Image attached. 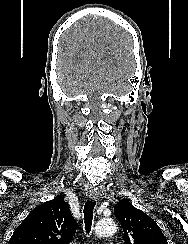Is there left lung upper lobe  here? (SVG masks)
<instances>
[{
	"instance_id": "1",
	"label": "left lung upper lobe",
	"mask_w": 188,
	"mask_h": 244,
	"mask_svg": "<svg viewBox=\"0 0 188 244\" xmlns=\"http://www.w3.org/2000/svg\"><path fill=\"white\" fill-rule=\"evenodd\" d=\"M114 214L123 228L125 244H168L154 219L127 199L117 203Z\"/></svg>"
}]
</instances>
